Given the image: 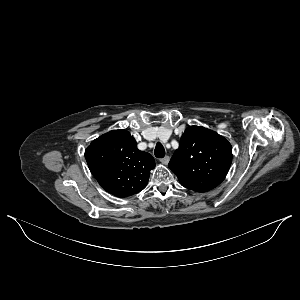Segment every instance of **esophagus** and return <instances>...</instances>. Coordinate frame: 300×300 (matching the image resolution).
<instances>
[{"label": "esophagus", "mask_w": 300, "mask_h": 300, "mask_svg": "<svg viewBox=\"0 0 300 300\" xmlns=\"http://www.w3.org/2000/svg\"><path fill=\"white\" fill-rule=\"evenodd\" d=\"M170 157L169 156H165L163 158L160 159V162L164 165H167L169 163Z\"/></svg>", "instance_id": "1"}]
</instances>
